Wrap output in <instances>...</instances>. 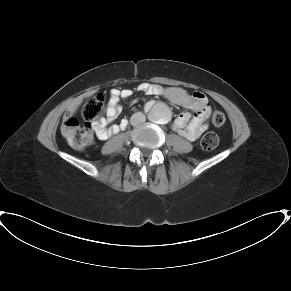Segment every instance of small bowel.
<instances>
[{
	"label": "small bowel",
	"mask_w": 291,
	"mask_h": 291,
	"mask_svg": "<svg viewBox=\"0 0 291 291\" xmlns=\"http://www.w3.org/2000/svg\"><path fill=\"white\" fill-rule=\"evenodd\" d=\"M137 89L147 95L162 96L174 104L195 111L193 115L186 111L180 113L172 123L173 130L186 139L194 141L208 130L209 106L206 96L202 92L189 94L181 87H162L146 82L139 84ZM131 95L132 91L130 89L114 88L110 91L106 108L107 122L113 120L121 111L119 100L127 99ZM126 126V120L111 126H107L106 122L101 121L94 125V130L99 140H106L108 137L124 130Z\"/></svg>",
	"instance_id": "small-bowel-1"
}]
</instances>
